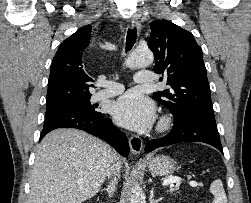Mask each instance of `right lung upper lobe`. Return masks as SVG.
I'll use <instances>...</instances> for the list:
<instances>
[{"mask_svg":"<svg viewBox=\"0 0 251 203\" xmlns=\"http://www.w3.org/2000/svg\"><path fill=\"white\" fill-rule=\"evenodd\" d=\"M91 26L78 29L59 46L51 65L46 108L89 99L90 82L93 80L86 74L82 57L90 43Z\"/></svg>","mask_w":251,"mask_h":203,"instance_id":"right-lung-upper-lobe-1","label":"right lung upper lobe"}]
</instances>
